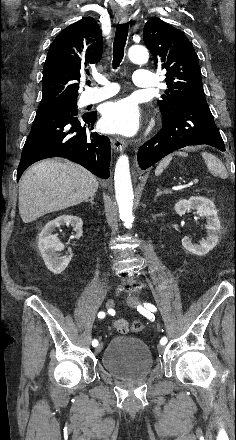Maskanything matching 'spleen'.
Returning <instances> with one entry per match:
<instances>
[{
	"instance_id": "3e777b00",
	"label": "spleen",
	"mask_w": 236,
	"mask_h": 440,
	"mask_svg": "<svg viewBox=\"0 0 236 440\" xmlns=\"http://www.w3.org/2000/svg\"><path fill=\"white\" fill-rule=\"evenodd\" d=\"M201 155L211 174L219 176L223 179H226L228 177L227 171L219 159H217L214 155L207 152H202ZM171 160H172V156H168L162 159L158 164V166L156 167L155 175L156 176L161 175V173L164 171V169H166V167L169 165Z\"/></svg>"
}]
</instances>
